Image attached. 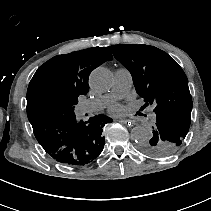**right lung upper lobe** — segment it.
Masks as SVG:
<instances>
[{"instance_id":"right-lung-upper-lobe-1","label":"right lung upper lobe","mask_w":211,"mask_h":211,"mask_svg":"<svg viewBox=\"0 0 211 211\" xmlns=\"http://www.w3.org/2000/svg\"><path fill=\"white\" fill-rule=\"evenodd\" d=\"M112 59L105 47H95L58 55L45 62L34 74L27 90L30 123L54 117L60 106L78 102V97L89 90L91 71Z\"/></svg>"}]
</instances>
